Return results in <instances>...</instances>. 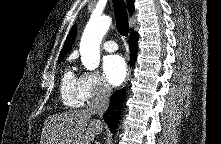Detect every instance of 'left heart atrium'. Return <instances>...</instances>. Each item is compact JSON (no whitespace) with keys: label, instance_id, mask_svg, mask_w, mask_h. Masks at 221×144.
I'll use <instances>...</instances> for the list:
<instances>
[{"label":"left heart atrium","instance_id":"left-heart-atrium-1","mask_svg":"<svg viewBox=\"0 0 221 144\" xmlns=\"http://www.w3.org/2000/svg\"><path fill=\"white\" fill-rule=\"evenodd\" d=\"M126 72V63L120 55H111L104 58L103 73L110 85H120L126 77Z\"/></svg>","mask_w":221,"mask_h":144}]
</instances>
